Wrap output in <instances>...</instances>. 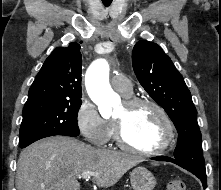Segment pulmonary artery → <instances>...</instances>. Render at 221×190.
<instances>
[{"mask_svg": "<svg viewBox=\"0 0 221 190\" xmlns=\"http://www.w3.org/2000/svg\"><path fill=\"white\" fill-rule=\"evenodd\" d=\"M112 87L122 95L132 94L133 87L128 77L123 74H115L111 78Z\"/></svg>", "mask_w": 221, "mask_h": 190, "instance_id": "obj_1", "label": "pulmonary artery"}]
</instances>
